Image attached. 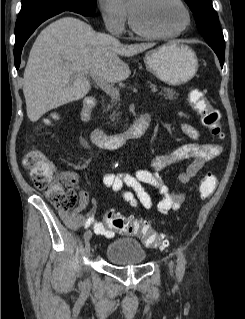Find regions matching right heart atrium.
<instances>
[{
  "label": "right heart atrium",
  "mask_w": 245,
  "mask_h": 319,
  "mask_svg": "<svg viewBox=\"0 0 245 319\" xmlns=\"http://www.w3.org/2000/svg\"><path fill=\"white\" fill-rule=\"evenodd\" d=\"M105 27L113 34H122L128 21V10L119 0H98Z\"/></svg>",
  "instance_id": "right-heart-atrium-1"
}]
</instances>
